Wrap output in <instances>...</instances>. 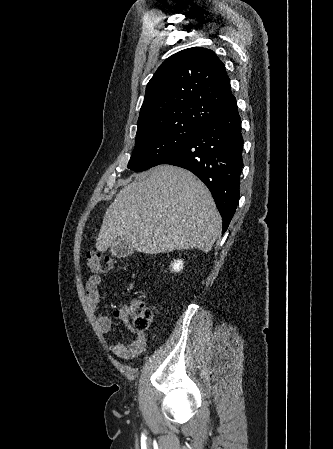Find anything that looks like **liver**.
<instances>
[{
    "label": "liver",
    "instance_id": "obj_1",
    "mask_svg": "<svg viewBox=\"0 0 333 449\" xmlns=\"http://www.w3.org/2000/svg\"><path fill=\"white\" fill-rule=\"evenodd\" d=\"M108 207L96 239L105 252L117 237L142 253L198 248L207 253L218 238L221 216L207 187L190 171L160 165L133 174Z\"/></svg>",
    "mask_w": 333,
    "mask_h": 449
}]
</instances>
